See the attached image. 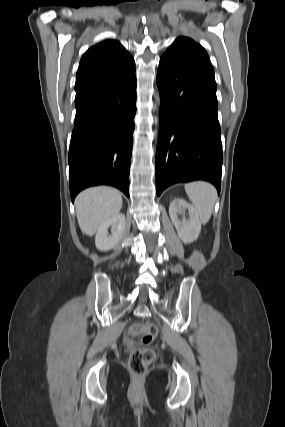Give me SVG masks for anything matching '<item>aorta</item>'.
Here are the masks:
<instances>
[{
  "label": "aorta",
  "instance_id": "aorta-1",
  "mask_svg": "<svg viewBox=\"0 0 285 427\" xmlns=\"http://www.w3.org/2000/svg\"><path fill=\"white\" fill-rule=\"evenodd\" d=\"M157 102H158V105H160V96H159V94L157 95Z\"/></svg>",
  "mask_w": 285,
  "mask_h": 427
}]
</instances>
